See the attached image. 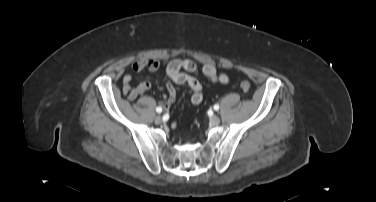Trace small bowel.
<instances>
[{
    "label": "small bowel",
    "mask_w": 376,
    "mask_h": 202,
    "mask_svg": "<svg viewBox=\"0 0 376 202\" xmlns=\"http://www.w3.org/2000/svg\"><path fill=\"white\" fill-rule=\"evenodd\" d=\"M161 62L156 59H142L136 60L131 64L133 72H140L143 69H147L151 72H156L160 69ZM197 71V66L190 60L175 59L165 64V72L170 81L166 83L167 96L163 103L168 107L171 105L176 97V85H188L192 91L191 102L194 105H198L203 100L202 86L199 81L190 75ZM203 74L209 78L212 82H221L223 84L228 83V77L223 73H218L215 66L206 64L203 67ZM132 76L125 74L122 78V93L128 100L134 101L140 95H143L149 88L150 83L147 81L141 82L136 87L131 86ZM174 127L177 125L174 124Z\"/></svg>",
    "instance_id": "c3829d8e"
}]
</instances>
